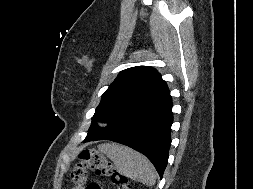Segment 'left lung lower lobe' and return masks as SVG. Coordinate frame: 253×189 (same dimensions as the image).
Here are the masks:
<instances>
[{"mask_svg": "<svg viewBox=\"0 0 253 189\" xmlns=\"http://www.w3.org/2000/svg\"><path fill=\"white\" fill-rule=\"evenodd\" d=\"M172 122V97L169 92L158 103L139 112L115 129L87 135L84 142L103 139L130 146L144 154L162 178L168 163Z\"/></svg>", "mask_w": 253, "mask_h": 189, "instance_id": "1", "label": "left lung lower lobe"}]
</instances>
